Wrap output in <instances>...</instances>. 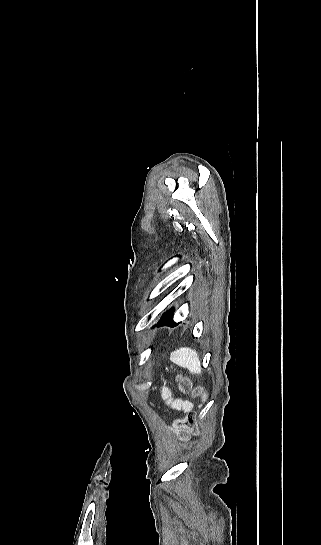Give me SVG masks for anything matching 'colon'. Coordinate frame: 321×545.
Here are the masks:
<instances>
[{"mask_svg": "<svg viewBox=\"0 0 321 545\" xmlns=\"http://www.w3.org/2000/svg\"><path fill=\"white\" fill-rule=\"evenodd\" d=\"M180 388L182 390H188L190 389V386L187 381L181 380L180 381ZM192 393L195 396H200L202 398L205 397V394L201 388H194L192 389ZM196 415L193 412H189L186 417L183 419H178L173 422L172 428L177 431L181 435H186L188 433H196L197 432V421H196Z\"/></svg>", "mask_w": 321, "mask_h": 545, "instance_id": "obj_1", "label": "colon"}]
</instances>
